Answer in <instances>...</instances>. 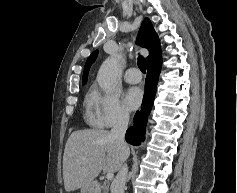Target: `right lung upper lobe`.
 I'll list each match as a JSON object with an SVG mask.
<instances>
[{
  "label": "right lung upper lobe",
  "instance_id": "cb5924a9",
  "mask_svg": "<svg viewBox=\"0 0 237 193\" xmlns=\"http://www.w3.org/2000/svg\"><path fill=\"white\" fill-rule=\"evenodd\" d=\"M137 42L141 47H144L149 50V56L146 57L147 64L161 58V48L158 36L148 18H145L138 36H137ZM98 52H93L89 58L86 61L85 67H84V74L82 78L83 85L87 82V76L90 69L91 64L95 61L97 57Z\"/></svg>",
  "mask_w": 237,
  "mask_h": 193
}]
</instances>
